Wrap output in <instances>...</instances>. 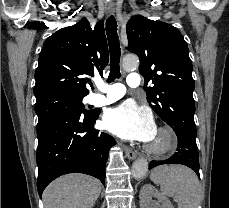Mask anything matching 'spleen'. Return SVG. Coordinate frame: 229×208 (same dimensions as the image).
Masks as SVG:
<instances>
[{"label":"spleen","mask_w":229,"mask_h":208,"mask_svg":"<svg viewBox=\"0 0 229 208\" xmlns=\"http://www.w3.org/2000/svg\"><path fill=\"white\" fill-rule=\"evenodd\" d=\"M150 178L164 196L174 198L178 208H198L203 200L199 180L186 166H158Z\"/></svg>","instance_id":"obj_1"}]
</instances>
